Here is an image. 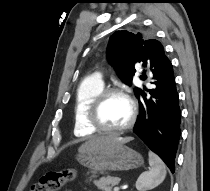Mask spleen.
<instances>
[{
  "label": "spleen",
  "instance_id": "obj_1",
  "mask_svg": "<svg viewBox=\"0 0 210 191\" xmlns=\"http://www.w3.org/2000/svg\"><path fill=\"white\" fill-rule=\"evenodd\" d=\"M150 170L143 172L136 181L139 191L151 190L161 184L166 177V166L163 161L153 152H149Z\"/></svg>",
  "mask_w": 210,
  "mask_h": 191
}]
</instances>
